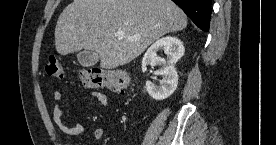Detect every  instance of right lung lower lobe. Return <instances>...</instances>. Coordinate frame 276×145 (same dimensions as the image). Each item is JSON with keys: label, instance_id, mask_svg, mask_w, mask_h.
<instances>
[{"label": "right lung lower lobe", "instance_id": "98d812e1", "mask_svg": "<svg viewBox=\"0 0 276 145\" xmlns=\"http://www.w3.org/2000/svg\"><path fill=\"white\" fill-rule=\"evenodd\" d=\"M199 27L207 32L210 25L211 0H172Z\"/></svg>", "mask_w": 276, "mask_h": 145}]
</instances>
